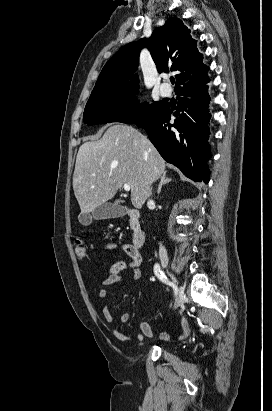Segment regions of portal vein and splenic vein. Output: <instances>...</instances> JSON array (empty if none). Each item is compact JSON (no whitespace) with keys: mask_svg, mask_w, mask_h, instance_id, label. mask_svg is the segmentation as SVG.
I'll list each match as a JSON object with an SVG mask.
<instances>
[{"mask_svg":"<svg viewBox=\"0 0 272 411\" xmlns=\"http://www.w3.org/2000/svg\"><path fill=\"white\" fill-rule=\"evenodd\" d=\"M123 188H124V190L127 191V192L130 191V189H131V187H130L129 184H124V185H123Z\"/></svg>","mask_w":272,"mask_h":411,"instance_id":"18ae733b","label":"portal vein and splenic vein"}]
</instances>
